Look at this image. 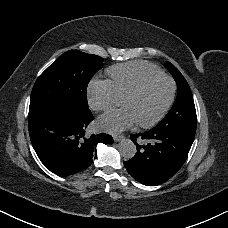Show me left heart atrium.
Masks as SVG:
<instances>
[{
	"mask_svg": "<svg viewBox=\"0 0 228 228\" xmlns=\"http://www.w3.org/2000/svg\"><path fill=\"white\" fill-rule=\"evenodd\" d=\"M123 118L124 121H120ZM135 121V117L129 108L119 111H112L100 118V122L104 124V128L110 131H121Z\"/></svg>",
	"mask_w": 228,
	"mask_h": 228,
	"instance_id": "39dd6f15",
	"label": "left heart atrium"
}]
</instances>
